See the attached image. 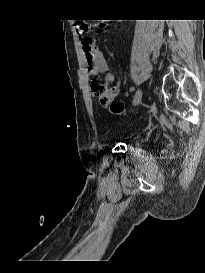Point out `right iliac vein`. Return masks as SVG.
<instances>
[{"label":"right iliac vein","instance_id":"1","mask_svg":"<svg viewBox=\"0 0 205 273\" xmlns=\"http://www.w3.org/2000/svg\"><path fill=\"white\" fill-rule=\"evenodd\" d=\"M141 99H142V91L139 89L136 91V93L134 95L133 104L138 105L140 103Z\"/></svg>","mask_w":205,"mask_h":273}]
</instances>
